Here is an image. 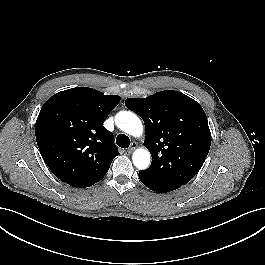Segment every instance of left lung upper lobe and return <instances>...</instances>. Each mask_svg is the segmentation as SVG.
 <instances>
[{"label": "left lung upper lobe", "mask_w": 265, "mask_h": 265, "mask_svg": "<svg viewBox=\"0 0 265 265\" xmlns=\"http://www.w3.org/2000/svg\"><path fill=\"white\" fill-rule=\"evenodd\" d=\"M125 105L145 124L144 145L152 163L142 172L176 188L189 182L202 167L211 145L200 104L181 92L167 90L146 98H128Z\"/></svg>", "instance_id": "5c2ea615"}]
</instances>
